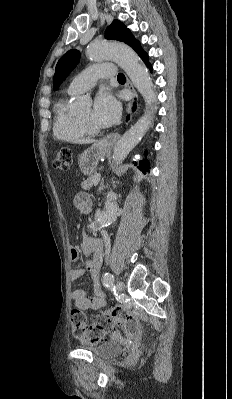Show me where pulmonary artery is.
Segmentation results:
<instances>
[{
    "label": "pulmonary artery",
    "instance_id": "1",
    "mask_svg": "<svg viewBox=\"0 0 232 399\" xmlns=\"http://www.w3.org/2000/svg\"><path fill=\"white\" fill-rule=\"evenodd\" d=\"M93 69H82L81 73H75L73 81L70 82V96H87V90H94L99 80H114L115 63H93Z\"/></svg>",
    "mask_w": 232,
    "mask_h": 399
}]
</instances>
